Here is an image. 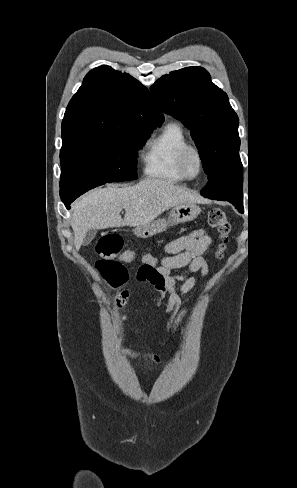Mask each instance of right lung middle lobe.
<instances>
[{
  "label": "right lung middle lobe",
  "instance_id": "obj_1",
  "mask_svg": "<svg viewBox=\"0 0 297 488\" xmlns=\"http://www.w3.org/2000/svg\"><path fill=\"white\" fill-rule=\"evenodd\" d=\"M154 124L121 134L92 135L63 141L60 197L71 203L86 191L109 182L137 178L136 157Z\"/></svg>",
  "mask_w": 297,
  "mask_h": 488
}]
</instances>
